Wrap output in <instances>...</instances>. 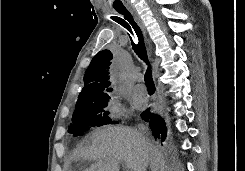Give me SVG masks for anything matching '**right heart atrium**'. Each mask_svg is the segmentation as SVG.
Masks as SVG:
<instances>
[{
    "instance_id": "d8ad5b80",
    "label": "right heart atrium",
    "mask_w": 245,
    "mask_h": 171,
    "mask_svg": "<svg viewBox=\"0 0 245 171\" xmlns=\"http://www.w3.org/2000/svg\"><path fill=\"white\" fill-rule=\"evenodd\" d=\"M105 111L110 118L118 119L123 116V109L115 98L107 101Z\"/></svg>"
}]
</instances>
